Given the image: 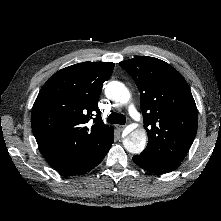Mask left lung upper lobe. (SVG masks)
<instances>
[{
	"label": "left lung upper lobe",
	"mask_w": 221,
	"mask_h": 221,
	"mask_svg": "<svg viewBox=\"0 0 221 221\" xmlns=\"http://www.w3.org/2000/svg\"><path fill=\"white\" fill-rule=\"evenodd\" d=\"M119 65L139 91L148 145L143 152L181 162L197 132L198 113L182 75L168 63L140 56Z\"/></svg>",
	"instance_id": "obj_1"
}]
</instances>
